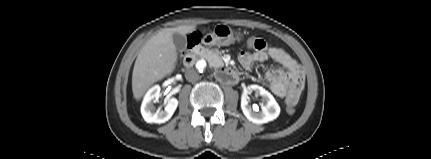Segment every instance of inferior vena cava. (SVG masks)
Returning a JSON list of instances; mask_svg holds the SVG:
<instances>
[{"instance_id": "inferior-vena-cava-1", "label": "inferior vena cava", "mask_w": 431, "mask_h": 159, "mask_svg": "<svg viewBox=\"0 0 431 159\" xmlns=\"http://www.w3.org/2000/svg\"><path fill=\"white\" fill-rule=\"evenodd\" d=\"M187 81L195 83L199 79V74L194 69H189L185 72Z\"/></svg>"}]
</instances>
